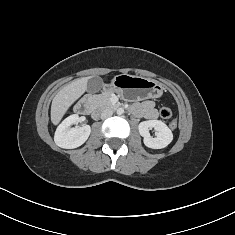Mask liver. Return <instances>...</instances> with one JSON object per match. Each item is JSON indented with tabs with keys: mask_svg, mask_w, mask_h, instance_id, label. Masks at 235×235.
<instances>
[{
	"mask_svg": "<svg viewBox=\"0 0 235 235\" xmlns=\"http://www.w3.org/2000/svg\"><path fill=\"white\" fill-rule=\"evenodd\" d=\"M89 77L73 80L64 86L53 98L51 104V121L57 125L69 107L87 90Z\"/></svg>",
	"mask_w": 235,
	"mask_h": 235,
	"instance_id": "liver-1",
	"label": "liver"
}]
</instances>
